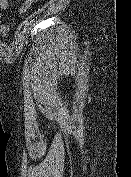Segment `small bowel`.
<instances>
[{
	"mask_svg": "<svg viewBox=\"0 0 131 177\" xmlns=\"http://www.w3.org/2000/svg\"><path fill=\"white\" fill-rule=\"evenodd\" d=\"M38 0H0V8L1 9H9L18 5V13L22 14L26 12L34 3ZM9 31L8 25L0 24V33L3 35L7 34Z\"/></svg>",
	"mask_w": 131,
	"mask_h": 177,
	"instance_id": "1",
	"label": "small bowel"
}]
</instances>
